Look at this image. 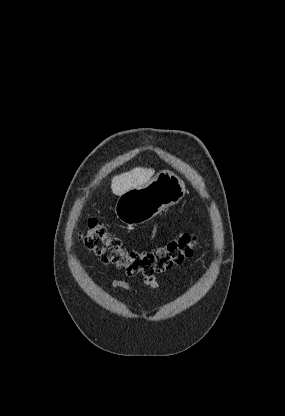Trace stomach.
<instances>
[{"instance_id":"0dacf381","label":"stomach","mask_w":285,"mask_h":416,"mask_svg":"<svg viewBox=\"0 0 285 416\" xmlns=\"http://www.w3.org/2000/svg\"><path fill=\"white\" fill-rule=\"evenodd\" d=\"M186 194V186L176 174L162 170L151 182L119 196L115 214L123 224L138 226L165 208L178 204Z\"/></svg>"}]
</instances>
